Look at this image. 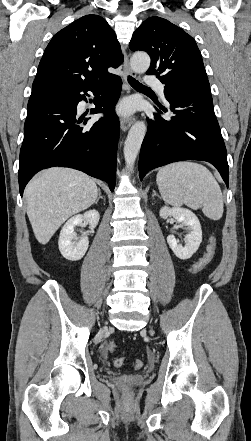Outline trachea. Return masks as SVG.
<instances>
[{"instance_id":"trachea-1","label":"trachea","mask_w":251,"mask_h":441,"mask_svg":"<svg viewBox=\"0 0 251 441\" xmlns=\"http://www.w3.org/2000/svg\"><path fill=\"white\" fill-rule=\"evenodd\" d=\"M128 82L131 86L143 89H149L131 76H128Z\"/></svg>"}]
</instances>
